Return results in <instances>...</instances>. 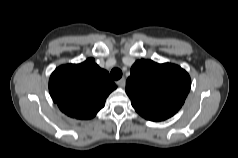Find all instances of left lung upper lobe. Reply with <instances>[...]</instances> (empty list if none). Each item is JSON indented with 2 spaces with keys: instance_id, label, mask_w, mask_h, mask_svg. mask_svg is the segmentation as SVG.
Returning <instances> with one entry per match:
<instances>
[{
  "instance_id": "left-lung-upper-lobe-1",
  "label": "left lung upper lobe",
  "mask_w": 238,
  "mask_h": 158,
  "mask_svg": "<svg viewBox=\"0 0 238 158\" xmlns=\"http://www.w3.org/2000/svg\"><path fill=\"white\" fill-rule=\"evenodd\" d=\"M188 73L181 67L138 60L131 68L126 93L134 109L145 119L163 121L184 104L190 91Z\"/></svg>"
}]
</instances>
